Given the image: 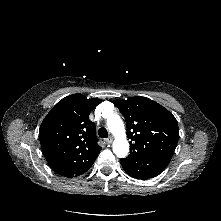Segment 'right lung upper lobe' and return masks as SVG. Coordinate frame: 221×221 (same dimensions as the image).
Listing matches in <instances>:
<instances>
[{"label":"right lung upper lobe","mask_w":221,"mask_h":221,"mask_svg":"<svg viewBox=\"0 0 221 221\" xmlns=\"http://www.w3.org/2000/svg\"><path fill=\"white\" fill-rule=\"evenodd\" d=\"M100 102L73 94L60 100L43 120L39 129L41 148L57 174L72 178L94 163L101 147L89 114Z\"/></svg>","instance_id":"1"}]
</instances>
